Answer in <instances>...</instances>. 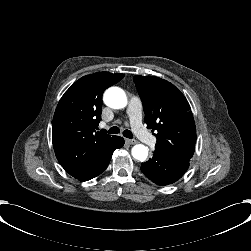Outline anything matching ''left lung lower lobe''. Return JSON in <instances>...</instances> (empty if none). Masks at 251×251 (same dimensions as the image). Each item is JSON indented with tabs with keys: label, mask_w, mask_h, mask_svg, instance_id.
I'll return each mask as SVG.
<instances>
[{
	"label": "left lung lower lobe",
	"mask_w": 251,
	"mask_h": 251,
	"mask_svg": "<svg viewBox=\"0 0 251 251\" xmlns=\"http://www.w3.org/2000/svg\"><path fill=\"white\" fill-rule=\"evenodd\" d=\"M189 161L154 151L153 157L141 164V171L152 182L165 186L176 182L184 175Z\"/></svg>",
	"instance_id": "1"
}]
</instances>
